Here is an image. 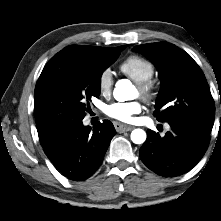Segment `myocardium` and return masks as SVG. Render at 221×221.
<instances>
[{
  "label": "myocardium",
  "instance_id": "f54148a6",
  "mask_svg": "<svg viewBox=\"0 0 221 221\" xmlns=\"http://www.w3.org/2000/svg\"><path fill=\"white\" fill-rule=\"evenodd\" d=\"M137 88L140 96L146 102H152L156 97L155 85L150 80L137 82Z\"/></svg>",
  "mask_w": 221,
  "mask_h": 221
}]
</instances>
